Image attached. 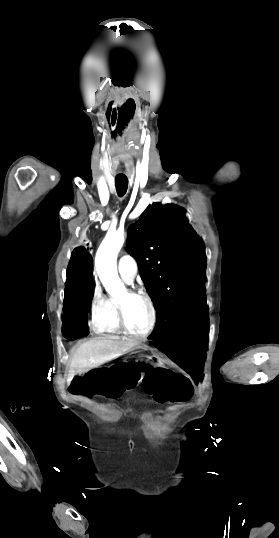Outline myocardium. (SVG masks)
Wrapping results in <instances>:
<instances>
[{"instance_id":"1","label":"myocardium","mask_w":279,"mask_h":538,"mask_svg":"<svg viewBox=\"0 0 279 538\" xmlns=\"http://www.w3.org/2000/svg\"><path fill=\"white\" fill-rule=\"evenodd\" d=\"M107 226H108V223L101 224V228H104ZM125 293L127 295V298L119 297L117 299V315H118L119 324L122 330L127 335L136 339H146L153 333L157 324V311H156L155 303L153 299L151 298V296L143 290H135V289L127 288L125 290ZM128 298H141L146 301V303L148 304L150 308L151 319H150L148 328L144 332H141V333L134 332L129 328L127 324L125 310H126V301Z\"/></svg>"}]
</instances>
